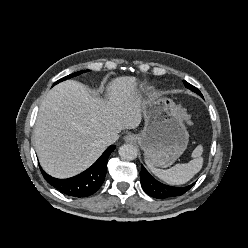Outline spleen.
Returning <instances> with one entry per match:
<instances>
[{
	"label": "spleen",
	"mask_w": 248,
	"mask_h": 248,
	"mask_svg": "<svg viewBox=\"0 0 248 248\" xmlns=\"http://www.w3.org/2000/svg\"><path fill=\"white\" fill-rule=\"evenodd\" d=\"M202 153L203 147L202 145H198L192 153L193 160L185 164H176L167 170L155 168L148 161H146V164L151 172L164 182L171 185H182L192 179L201 170L203 165Z\"/></svg>",
	"instance_id": "obj_1"
}]
</instances>
